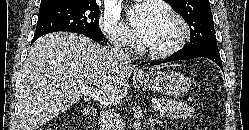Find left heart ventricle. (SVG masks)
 I'll use <instances>...</instances> for the list:
<instances>
[{
    "instance_id": "b2bd125f",
    "label": "left heart ventricle",
    "mask_w": 249,
    "mask_h": 130,
    "mask_svg": "<svg viewBox=\"0 0 249 130\" xmlns=\"http://www.w3.org/2000/svg\"><path fill=\"white\" fill-rule=\"evenodd\" d=\"M180 33L178 24L162 15L146 46L150 49H163L176 41Z\"/></svg>"
}]
</instances>
